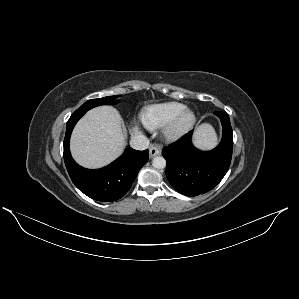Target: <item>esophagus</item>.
Listing matches in <instances>:
<instances>
[{
	"label": "esophagus",
	"instance_id": "1",
	"mask_svg": "<svg viewBox=\"0 0 299 299\" xmlns=\"http://www.w3.org/2000/svg\"><path fill=\"white\" fill-rule=\"evenodd\" d=\"M161 153L160 146L156 143H153L149 147V157L153 158Z\"/></svg>",
	"mask_w": 299,
	"mask_h": 299
}]
</instances>
